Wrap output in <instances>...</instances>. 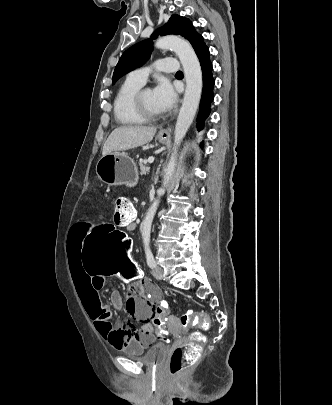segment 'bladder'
Returning a JSON list of instances; mask_svg holds the SVG:
<instances>
[{
    "instance_id": "obj_1",
    "label": "bladder",
    "mask_w": 332,
    "mask_h": 405,
    "mask_svg": "<svg viewBox=\"0 0 332 405\" xmlns=\"http://www.w3.org/2000/svg\"><path fill=\"white\" fill-rule=\"evenodd\" d=\"M167 346L164 344H156L147 351H135L132 348H124L121 351L131 358L140 361L147 366H155L163 361L167 354Z\"/></svg>"
}]
</instances>
